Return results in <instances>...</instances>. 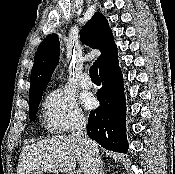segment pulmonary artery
<instances>
[{"instance_id":"pulmonary-artery-1","label":"pulmonary artery","mask_w":175,"mask_h":174,"mask_svg":"<svg viewBox=\"0 0 175 174\" xmlns=\"http://www.w3.org/2000/svg\"><path fill=\"white\" fill-rule=\"evenodd\" d=\"M79 85L85 89H89L92 87L93 83H92L88 73L85 72L80 76Z\"/></svg>"}]
</instances>
